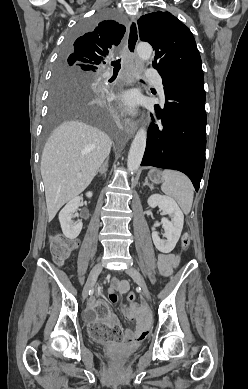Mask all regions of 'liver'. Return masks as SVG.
<instances>
[{
	"label": "liver",
	"mask_w": 248,
	"mask_h": 389,
	"mask_svg": "<svg viewBox=\"0 0 248 389\" xmlns=\"http://www.w3.org/2000/svg\"><path fill=\"white\" fill-rule=\"evenodd\" d=\"M111 146L106 133L82 121L64 122L52 132L44 146L40 168L49 221L89 186Z\"/></svg>",
	"instance_id": "obj_1"
}]
</instances>
